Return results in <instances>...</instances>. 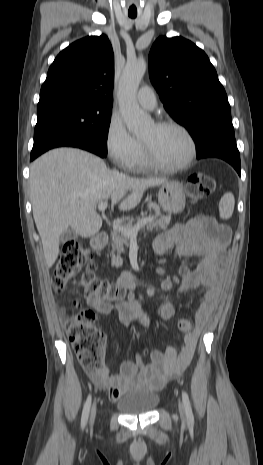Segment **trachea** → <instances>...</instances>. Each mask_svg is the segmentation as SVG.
Masks as SVG:
<instances>
[{"label":"trachea","instance_id":"1","mask_svg":"<svg viewBox=\"0 0 263 465\" xmlns=\"http://www.w3.org/2000/svg\"><path fill=\"white\" fill-rule=\"evenodd\" d=\"M132 19H134L136 16H130Z\"/></svg>","mask_w":263,"mask_h":465}]
</instances>
